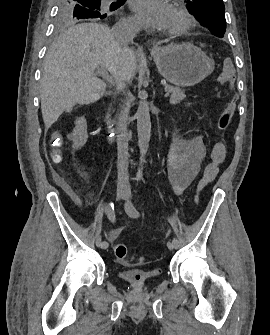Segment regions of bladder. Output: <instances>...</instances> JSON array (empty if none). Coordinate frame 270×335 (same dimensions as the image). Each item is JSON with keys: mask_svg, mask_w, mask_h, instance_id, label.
<instances>
[{"mask_svg": "<svg viewBox=\"0 0 270 335\" xmlns=\"http://www.w3.org/2000/svg\"><path fill=\"white\" fill-rule=\"evenodd\" d=\"M156 274L151 273L147 269H134L120 273V278L138 288L140 285H150L154 281Z\"/></svg>", "mask_w": 270, "mask_h": 335, "instance_id": "obj_1", "label": "bladder"}]
</instances>
